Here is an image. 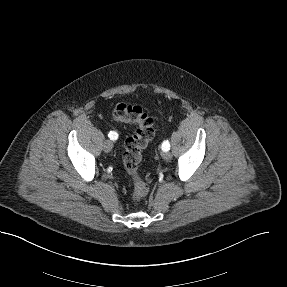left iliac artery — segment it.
Masks as SVG:
<instances>
[{
	"label": "left iliac artery",
	"mask_w": 287,
	"mask_h": 287,
	"mask_svg": "<svg viewBox=\"0 0 287 287\" xmlns=\"http://www.w3.org/2000/svg\"><path fill=\"white\" fill-rule=\"evenodd\" d=\"M162 150L163 151H169L170 149V143L168 140H165L163 143H162V146H161Z\"/></svg>",
	"instance_id": "44dca946"
}]
</instances>
